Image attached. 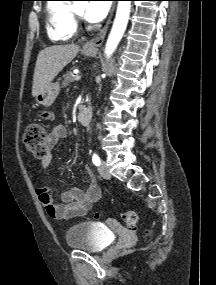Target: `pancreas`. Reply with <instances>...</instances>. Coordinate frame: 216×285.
<instances>
[{"label":"pancreas","instance_id":"pancreas-1","mask_svg":"<svg viewBox=\"0 0 216 285\" xmlns=\"http://www.w3.org/2000/svg\"><path fill=\"white\" fill-rule=\"evenodd\" d=\"M64 80L62 82V87H66L68 86L70 83H72L75 79V75L73 74V72L68 71L64 76H63Z\"/></svg>","mask_w":216,"mask_h":285}]
</instances>
